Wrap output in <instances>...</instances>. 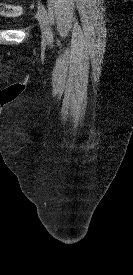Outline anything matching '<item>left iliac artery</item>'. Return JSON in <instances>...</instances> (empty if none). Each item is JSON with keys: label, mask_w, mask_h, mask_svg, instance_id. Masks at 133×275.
<instances>
[{"label": "left iliac artery", "mask_w": 133, "mask_h": 275, "mask_svg": "<svg viewBox=\"0 0 133 275\" xmlns=\"http://www.w3.org/2000/svg\"><path fill=\"white\" fill-rule=\"evenodd\" d=\"M38 10L43 14V16L45 17V19L48 21V14H47V11H46V9H45V7H44L43 4L38 3ZM49 40H50V42L53 41V33H52V31H50V33H49Z\"/></svg>", "instance_id": "44dca946"}]
</instances>
